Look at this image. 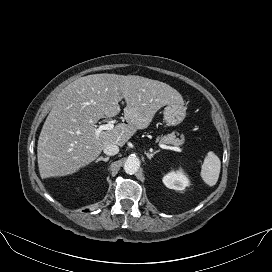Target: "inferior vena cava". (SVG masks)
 Listing matches in <instances>:
<instances>
[{"mask_svg": "<svg viewBox=\"0 0 272 272\" xmlns=\"http://www.w3.org/2000/svg\"><path fill=\"white\" fill-rule=\"evenodd\" d=\"M104 153L108 156H114L116 154H118L119 152V147L116 145V144H107L105 147H104Z\"/></svg>", "mask_w": 272, "mask_h": 272, "instance_id": "602c4592", "label": "inferior vena cava"}]
</instances>
